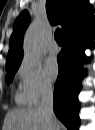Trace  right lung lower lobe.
Returning <instances> with one entry per match:
<instances>
[{"instance_id": "right-lung-lower-lobe-1", "label": "right lung lower lobe", "mask_w": 95, "mask_h": 130, "mask_svg": "<svg viewBox=\"0 0 95 130\" xmlns=\"http://www.w3.org/2000/svg\"><path fill=\"white\" fill-rule=\"evenodd\" d=\"M94 33L93 24L80 33L65 38L58 56L59 75L54 88L53 108L56 116L69 130H77L80 123L77 95L85 75L82 68L87 60L84 50L94 47Z\"/></svg>"}]
</instances>
